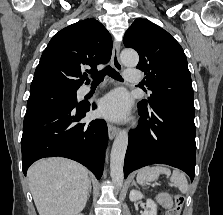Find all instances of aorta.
<instances>
[{
	"mask_svg": "<svg viewBox=\"0 0 223 215\" xmlns=\"http://www.w3.org/2000/svg\"><path fill=\"white\" fill-rule=\"evenodd\" d=\"M121 62L124 66H127V68H136L139 62V56L135 50H123ZM127 145L128 133L125 129H121L113 141L110 153V175L113 183H115L117 187L123 185V163Z\"/></svg>",
	"mask_w": 223,
	"mask_h": 215,
	"instance_id": "762f6f07",
	"label": "aorta"
}]
</instances>
